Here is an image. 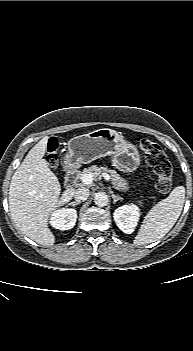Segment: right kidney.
<instances>
[{"instance_id":"ca27d5eb","label":"right kidney","mask_w":193,"mask_h":351,"mask_svg":"<svg viewBox=\"0 0 193 351\" xmlns=\"http://www.w3.org/2000/svg\"><path fill=\"white\" fill-rule=\"evenodd\" d=\"M77 211L70 208L57 209L51 214L50 224L59 230H69L75 226Z\"/></svg>"}]
</instances>
